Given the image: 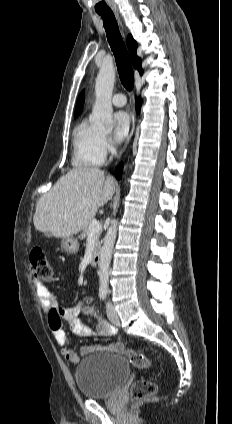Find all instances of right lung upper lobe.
I'll list each match as a JSON object with an SVG mask.
<instances>
[{
    "instance_id": "right-lung-upper-lobe-1",
    "label": "right lung upper lobe",
    "mask_w": 232,
    "mask_h": 424,
    "mask_svg": "<svg viewBox=\"0 0 232 424\" xmlns=\"http://www.w3.org/2000/svg\"><path fill=\"white\" fill-rule=\"evenodd\" d=\"M127 46L130 53V57L132 60L133 66L139 71L140 74H142V68H141V59L137 57L136 50H137V43L132 38L131 35H128L127 37ZM84 106V91L81 92L75 109V115H79L83 109Z\"/></svg>"
}]
</instances>
